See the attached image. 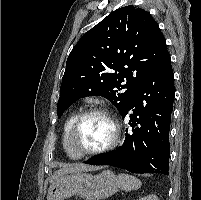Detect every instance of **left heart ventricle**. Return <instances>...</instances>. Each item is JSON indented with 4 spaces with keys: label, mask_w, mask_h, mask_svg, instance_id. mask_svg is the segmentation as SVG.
I'll return each instance as SVG.
<instances>
[{
    "label": "left heart ventricle",
    "mask_w": 201,
    "mask_h": 200,
    "mask_svg": "<svg viewBox=\"0 0 201 200\" xmlns=\"http://www.w3.org/2000/svg\"><path fill=\"white\" fill-rule=\"evenodd\" d=\"M112 136L110 122L99 115H93L81 121L74 135V145L79 152L101 148Z\"/></svg>",
    "instance_id": "left-heart-ventricle-1"
}]
</instances>
